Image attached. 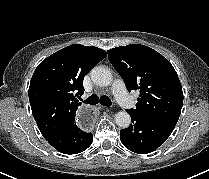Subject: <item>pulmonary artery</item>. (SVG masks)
Listing matches in <instances>:
<instances>
[{
  "mask_svg": "<svg viewBox=\"0 0 209 179\" xmlns=\"http://www.w3.org/2000/svg\"><path fill=\"white\" fill-rule=\"evenodd\" d=\"M112 93L116 101L124 108L131 109L134 107V101L128 95L122 80L117 79L112 84Z\"/></svg>",
  "mask_w": 209,
  "mask_h": 179,
  "instance_id": "1",
  "label": "pulmonary artery"
}]
</instances>
